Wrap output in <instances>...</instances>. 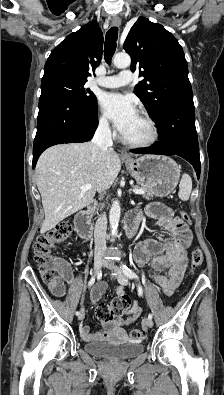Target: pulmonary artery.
Masks as SVG:
<instances>
[{
    "label": "pulmonary artery",
    "instance_id": "pulmonary-artery-1",
    "mask_svg": "<svg viewBox=\"0 0 224 395\" xmlns=\"http://www.w3.org/2000/svg\"><path fill=\"white\" fill-rule=\"evenodd\" d=\"M132 81L130 70H123L118 75L102 77L97 80V84L105 88H118L127 85Z\"/></svg>",
    "mask_w": 224,
    "mask_h": 395
}]
</instances>
